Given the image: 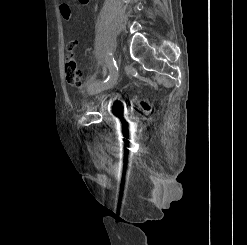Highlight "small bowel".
<instances>
[{"instance_id": "1", "label": "small bowel", "mask_w": 247, "mask_h": 245, "mask_svg": "<svg viewBox=\"0 0 247 245\" xmlns=\"http://www.w3.org/2000/svg\"><path fill=\"white\" fill-rule=\"evenodd\" d=\"M90 0H79V2L83 5H87L89 3ZM60 12L61 15L65 18V19H70L71 18V9L69 4L67 3H63L60 5Z\"/></svg>"}]
</instances>
